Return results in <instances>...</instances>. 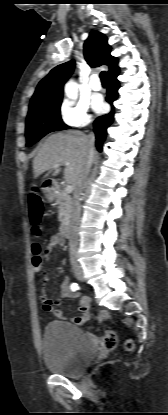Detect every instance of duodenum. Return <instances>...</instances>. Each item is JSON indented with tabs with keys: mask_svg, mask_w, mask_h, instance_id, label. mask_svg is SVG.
Returning <instances> with one entry per match:
<instances>
[{
	"mask_svg": "<svg viewBox=\"0 0 168 415\" xmlns=\"http://www.w3.org/2000/svg\"><path fill=\"white\" fill-rule=\"evenodd\" d=\"M43 187L50 194H53L57 191V185L53 181H50V180L44 181ZM59 232H60V235L63 238L68 237V235H69V224L65 223V222L62 223L60 225Z\"/></svg>",
	"mask_w": 168,
	"mask_h": 415,
	"instance_id": "duodenum-1",
	"label": "duodenum"
}]
</instances>
